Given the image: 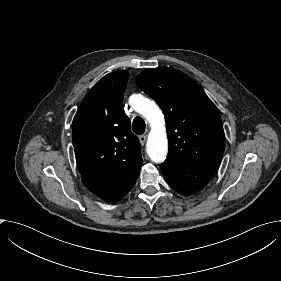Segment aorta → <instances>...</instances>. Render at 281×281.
Returning <instances> with one entry per match:
<instances>
[{"label":"aorta","mask_w":281,"mask_h":281,"mask_svg":"<svg viewBox=\"0 0 281 281\" xmlns=\"http://www.w3.org/2000/svg\"><path fill=\"white\" fill-rule=\"evenodd\" d=\"M129 103L135 111L146 118L151 126L146 144L148 156L155 163L163 162L168 152V140L162 111L154 101L141 94L132 95L129 99Z\"/></svg>","instance_id":"762f6f07"}]
</instances>
